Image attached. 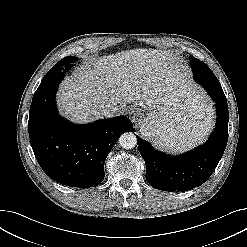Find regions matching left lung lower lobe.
I'll use <instances>...</instances> for the list:
<instances>
[{"instance_id": "left-lung-lower-lobe-1", "label": "left lung lower lobe", "mask_w": 247, "mask_h": 247, "mask_svg": "<svg viewBox=\"0 0 247 247\" xmlns=\"http://www.w3.org/2000/svg\"><path fill=\"white\" fill-rule=\"evenodd\" d=\"M192 70L195 81L216 102V126L204 145L176 157L153 149L150 143L137 136L138 149L146 164V179L156 189L183 192L202 185L215 170L227 144L229 117L223 89L202 61Z\"/></svg>"}]
</instances>
